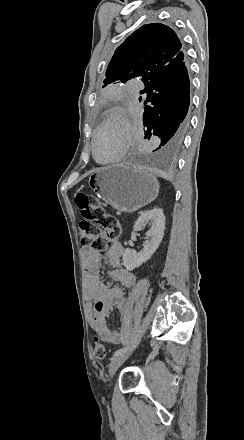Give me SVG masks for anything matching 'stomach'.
<instances>
[{
	"mask_svg": "<svg viewBox=\"0 0 244 440\" xmlns=\"http://www.w3.org/2000/svg\"><path fill=\"white\" fill-rule=\"evenodd\" d=\"M88 186L119 212H136L159 194L158 180L152 172L124 164L99 168L89 176Z\"/></svg>",
	"mask_w": 244,
	"mask_h": 440,
	"instance_id": "obj_1",
	"label": "stomach"
}]
</instances>
